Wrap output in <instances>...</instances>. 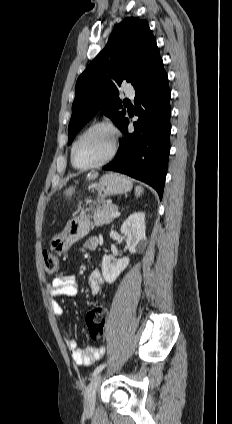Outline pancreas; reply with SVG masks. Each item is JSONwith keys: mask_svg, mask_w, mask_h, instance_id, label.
Returning <instances> with one entry per match:
<instances>
[{"mask_svg": "<svg viewBox=\"0 0 232 424\" xmlns=\"http://www.w3.org/2000/svg\"><path fill=\"white\" fill-rule=\"evenodd\" d=\"M117 207L112 204H104L102 207H99L93 215V225L102 226L104 224H110L114 217L111 216L112 212L116 211Z\"/></svg>", "mask_w": 232, "mask_h": 424, "instance_id": "cf45deb5", "label": "pancreas"}]
</instances>
